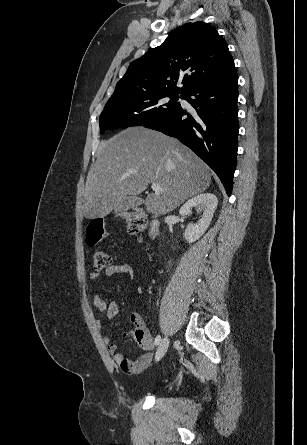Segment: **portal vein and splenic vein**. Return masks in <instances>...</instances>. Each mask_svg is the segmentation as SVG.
<instances>
[{
	"label": "portal vein and splenic vein",
	"mask_w": 307,
	"mask_h": 445,
	"mask_svg": "<svg viewBox=\"0 0 307 445\" xmlns=\"http://www.w3.org/2000/svg\"><path fill=\"white\" fill-rule=\"evenodd\" d=\"M151 188H153V190H162V186H160V184H157V182H152Z\"/></svg>",
	"instance_id": "1"
}]
</instances>
